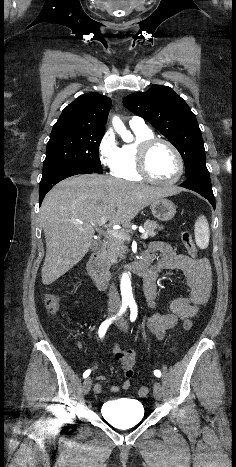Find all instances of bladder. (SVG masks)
<instances>
[{"instance_id": "obj_1", "label": "bladder", "mask_w": 236, "mask_h": 467, "mask_svg": "<svg viewBox=\"0 0 236 467\" xmlns=\"http://www.w3.org/2000/svg\"><path fill=\"white\" fill-rule=\"evenodd\" d=\"M100 411L108 422L118 428L134 426L144 418L143 404L129 398L107 401Z\"/></svg>"}]
</instances>
